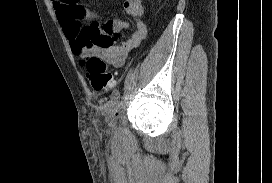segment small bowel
Wrapping results in <instances>:
<instances>
[{"label": "small bowel", "instance_id": "c3829d8e", "mask_svg": "<svg viewBox=\"0 0 272 183\" xmlns=\"http://www.w3.org/2000/svg\"><path fill=\"white\" fill-rule=\"evenodd\" d=\"M53 6L64 34L69 40L72 51L80 60L95 56L116 68L124 65L130 52L137 48L147 35V27L142 20L144 7L142 0H124L123 8L134 20L130 38H113L119 36L129 24L113 20L103 25L100 16L84 7L79 0H52ZM119 43V44H117Z\"/></svg>", "mask_w": 272, "mask_h": 183}]
</instances>
